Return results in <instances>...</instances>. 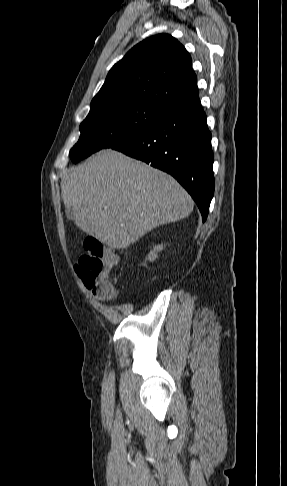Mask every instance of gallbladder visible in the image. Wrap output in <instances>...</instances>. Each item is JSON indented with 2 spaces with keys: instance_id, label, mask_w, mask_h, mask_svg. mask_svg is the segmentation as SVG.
Listing matches in <instances>:
<instances>
[{
  "instance_id": "bac80fb5",
  "label": "gallbladder",
  "mask_w": 287,
  "mask_h": 486,
  "mask_svg": "<svg viewBox=\"0 0 287 486\" xmlns=\"http://www.w3.org/2000/svg\"><path fill=\"white\" fill-rule=\"evenodd\" d=\"M66 213H67L68 218L70 219V216H71V208H66Z\"/></svg>"
}]
</instances>
